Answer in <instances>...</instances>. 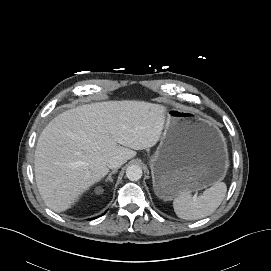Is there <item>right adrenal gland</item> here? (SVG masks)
<instances>
[{
    "instance_id": "1",
    "label": "right adrenal gland",
    "mask_w": 271,
    "mask_h": 271,
    "mask_svg": "<svg viewBox=\"0 0 271 271\" xmlns=\"http://www.w3.org/2000/svg\"><path fill=\"white\" fill-rule=\"evenodd\" d=\"M117 172V170H113L112 172L109 173L108 177L106 178V182L110 181V182H113V179H112V175L115 174Z\"/></svg>"
}]
</instances>
